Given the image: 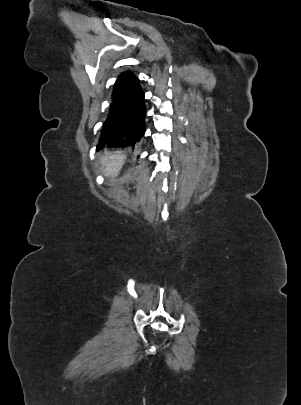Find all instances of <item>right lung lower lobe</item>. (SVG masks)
Here are the masks:
<instances>
[{
  "instance_id": "right-lung-lower-lobe-1",
  "label": "right lung lower lobe",
  "mask_w": 301,
  "mask_h": 405,
  "mask_svg": "<svg viewBox=\"0 0 301 405\" xmlns=\"http://www.w3.org/2000/svg\"><path fill=\"white\" fill-rule=\"evenodd\" d=\"M144 93L139 80L130 72L122 73L112 93V102L101 129L97 149L132 147L145 133Z\"/></svg>"
}]
</instances>
